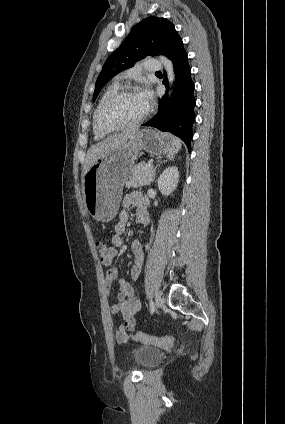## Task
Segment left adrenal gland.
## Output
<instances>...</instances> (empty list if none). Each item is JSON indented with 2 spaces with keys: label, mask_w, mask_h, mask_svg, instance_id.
<instances>
[{
  "label": "left adrenal gland",
  "mask_w": 285,
  "mask_h": 424,
  "mask_svg": "<svg viewBox=\"0 0 285 424\" xmlns=\"http://www.w3.org/2000/svg\"><path fill=\"white\" fill-rule=\"evenodd\" d=\"M163 162L162 161H160V160H158V164L156 165V167L154 168V171H153V179H152V181H154V179H155V176H156V170H157V168L162 164Z\"/></svg>",
  "instance_id": "obj_1"
}]
</instances>
